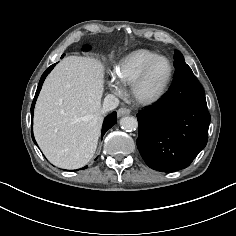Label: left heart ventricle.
Segmentation results:
<instances>
[{"mask_svg":"<svg viewBox=\"0 0 236 236\" xmlns=\"http://www.w3.org/2000/svg\"><path fill=\"white\" fill-rule=\"evenodd\" d=\"M169 64L166 60L158 61L149 72L142 85V92L147 95H154L161 90L167 80Z\"/></svg>","mask_w":236,"mask_h":236,"instance_id":"obj_1","label":"left heart ventricle"}]
</instances>
